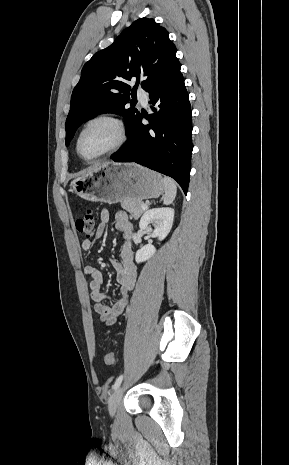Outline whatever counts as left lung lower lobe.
Segmentation results:
<instances>
[{"label": "left lung lower lobe", "mask_w": 289, "mask_h": 465, "mask_svg": "<svg viewBox=\"0 0 289 465\" xmlns=\"http://www.w3.org/2000/svg\"><path fill=\"white\" fill-rule=\"evenodd\" d=\"M145 91L153 105L149 125L142 124L141 113L127 133L125 146L110 158L136 162L170 176L186 194L193 150L192 113L180 66Z\"/></svg>", "instance_id": "obj_1"}]
</instances>
